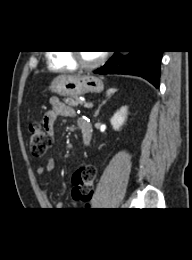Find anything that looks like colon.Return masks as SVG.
I'll return each instance as SVG.
<instances>
[{
	"label": "colon",
	"instance_id": "5ec220e1",
	"mask_svg": "<svg viewBox=\"0 0 192 260\" xmlns=\"http://www.w3.org/2000/svg\"><path fill=\"white\" fill-rule=\"evenodd\" d=\"M30 150L33 156L42 157L52 143V136L42 123L29 124ZM96 168L92 165L79 167L72 176L73 198L77 201L88 202L94 191Z\"/></svg>",
	"mask_w": 192,
	"mask_h": 260
}]
</instances>
